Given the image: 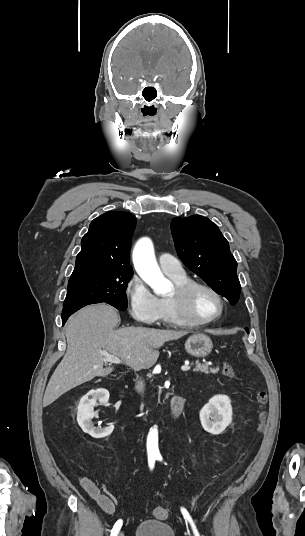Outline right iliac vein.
I'll list each match as a JSON object with an SVG mask.
<instances>
[{"mask_svg": "<svg viewBox=\"0 0 305 536\" xmlns=\"http://www.w3.org/2000/svg\"><path fill=\"white\" fill-rule=\"evenodd\" d=\"M118 536H124V534H123V533L121 532V533H119V535H118Z\"/></svg>", "mask_w": 305, "mask_h": 536, "instance_id": "right-iliac-vein-1", "label": "right iliac vein"}]
</instances>
